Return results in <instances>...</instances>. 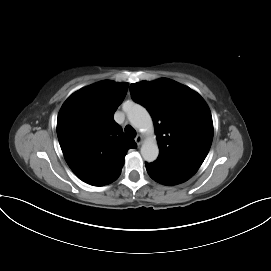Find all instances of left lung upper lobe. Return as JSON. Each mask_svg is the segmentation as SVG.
<instances>
[{
    "label": "left lung upper lobe",
    "instance_id": "1",
    "mask_svg": "<svg viewBox=\"0 0 271 271\" xmlns=\"http://www.w3.org/2000/svg\"><path fill=\"white\" fill-rule=\"evenodd\" d=\"M130 90L133 99L152 115L158 159L198 170L213 139L212 116L203 98L166 78L134 83Z\"/></svg>",
    "mask_w": 271,
    "mask_h": 271
}]
</instances>
